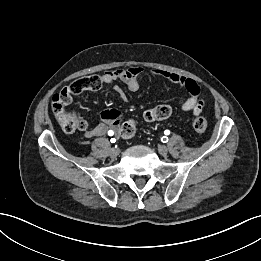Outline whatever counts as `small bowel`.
Instances as JSON below:
<instances>
[{"label":"small bowel","mask_w":261,"mask_h":261,"mask_svg":"<svg viewBox=\"0 0 261 261\" xmlns=\"http://www.w3.org/2000/svg\"><path fill=\"white\" fill-rule=\"evenodd\" d=\"M142 72L143 69L139 66H130L128 68L106 71L101 75L88 77L90 80V86L85 90H98L104 85H111L120 81L125 84L130 91L136 92L140 88L138 77ZM151 73L155 78H165L184 87L188 91L189 96L179 100L178 105L185 112H191L194 115H199L201 113L204 102L200 98V88L193 79L161 69H154ZM114 90L120 97H125V93L120 86L115 85ZM112 112H118L120 114V112L115 109L104 110L101 114L103 122L88 130L85 133V137L94 138L102 136L109 131H117L120 124L117 119H113L109 116Z\"/></svg>","instance_id":"small-bowel-1"}]
</instances>
